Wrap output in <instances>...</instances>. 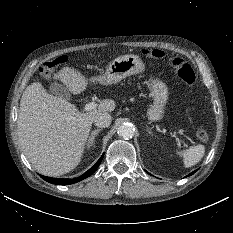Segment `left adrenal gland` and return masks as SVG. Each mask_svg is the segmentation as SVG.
Masks as SVG:
<instances>
[{"label":"left adrenal gland","mask_w":233,"mask_h":233,"mask_svg":"<svg viewBox=\"0 0 233 233\" xmlns=\"http://www.w3.org/2000/svg\"><path fill=\"white\" fill-rule=\"evenodd\" d=\"M147 131H148V133H149L150 135H152V136H153L152 131H151V129H150V128H148V127H147Z\"/></svg>","instance_id":"1"}]
</instances>
